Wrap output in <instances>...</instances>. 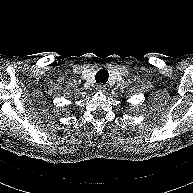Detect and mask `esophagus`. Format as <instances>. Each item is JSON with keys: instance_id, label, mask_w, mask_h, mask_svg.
<instances>
[{"instance_id": "esophagus-1", "label": "esophagus", "mask_w": 193, "mask_h": 193, "mask_svg": "<svg viewBox=\"0 0 193 193\" xmlns=\"http://www.w3.org/2000/svg\"><path fill=\"white\" fill-rule=\"evenodd\" d=\"M96 89H97L98 92L103 93V92L106 91L107 88H106V86H105L104 84H98V85L96 86Z\"/></svg>"}]
</instances>
